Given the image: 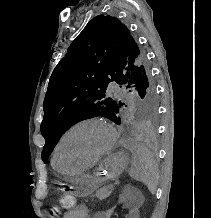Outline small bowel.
Returning a JSON list of instances; mask_svg holds the SVG:
<instances>
[{"label": "small bowel", "instance_id": "c3829d8e", "mask_svg": "<svg viewBox=\"0 0 211 218\" xmlns=\"http://www.w3.org/2000/svg\"><path fill=\"white\" fill-rule=\"evenodd\" d=\"M125 211L124 218H139V211L136 208L123 205ZM114 210L99 211L94 214L93 218H112ZM71 218H90L89 210L84 205L77 206L70 214Z\"/></svg>", "mask_w": 211, "mask_h": 218}]
</instances>
